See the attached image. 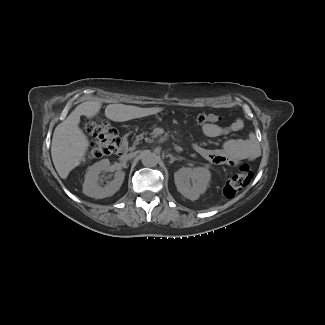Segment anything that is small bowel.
Segmentation results:
<instances>
[{
  "instance_id": "obj_1",
  "label": "small bowel",
  "mask_w": 325,
  "mask_h": 325,
  "mask_svg": "<svg viewBox=\"0 0 325 325\" xmlns=\"http://www.w3.org/2000/svg\"><path fill=\"white\" fill-rule=\"evenodd\" d=\"M210 116H213V114H210ZM200 127L205 136L217 138L240 131L243 127V121L236 119L229 125H221L219 120H207L200 124ZM195 150L208 161L219 165H227L255 157V150L240 138L226 140L218 150L207 149L201 146H195Z\"/></svg>"
}]
</instances>
